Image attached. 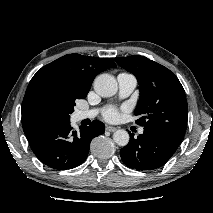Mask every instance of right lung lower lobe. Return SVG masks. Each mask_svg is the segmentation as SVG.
Listing matches in <instances>:
<instances>
[{"label": "right lung lower lobe", "instance_id": "98d812e1", "mask_svg": "<svg viewBox=\"0 0 213 213\" xmlns=\"http://www.w3.org/2000/svg\"><path fill=\"white\" fill-rule=\"evenodd\" d=\"M22 126L36 157L53 169H72L88 156L90 142L103 134L105 126L94 120L90 126L73 131L70 120H54L32 114L22 115Z\"/></svg>", "mask_w": 213, "mask_h": 213}]
</instances>
